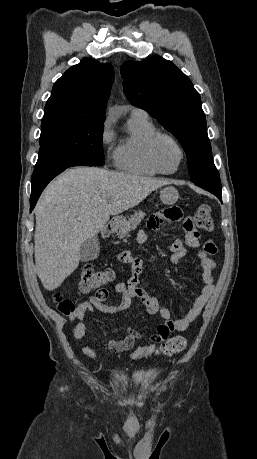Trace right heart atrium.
I'll list each match as a JSON object with an SVG mask.
<instances>
[{
  "instance_id": "right-heart-atrium-1",
  "label": "right heart atrium",
  "mask_w": 257,
  "mask_h": 459,
  "mask_svg": "<svg viewBox=\"0 0 257 459\" xmlns=\"http://www.w3.org/2000/svg\"><path fill=\"white\" fill-rule=\"evenodd\" d=\"M100 140L103 146L109 145L113 140V132L109 121H106L103 125Z\"/></svg>"
}]
</instances>
